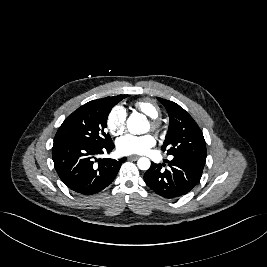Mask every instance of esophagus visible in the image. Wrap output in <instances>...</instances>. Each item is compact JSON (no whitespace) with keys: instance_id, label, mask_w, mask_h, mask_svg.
<instances>
[{"instance_id":"34e87169","label":"esophagus","mask_w":267,"mask_h":267,"mask_svg":"<svg viewBox=\"0 0 267 267\" xmlns=\"http://www.w3.org/2000/svg\"><path fill=\"white\" fill-rule=\"evenodd\" d=\"M138 158H139V156H136V155L128 157L129 160H133V161L137 160Z\"/></svg>"}]
</instances>
